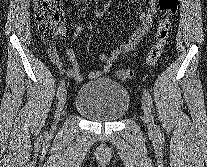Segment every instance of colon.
<instances>
[{
  "label": "colon",
  "instance_id": "colon-1",
  "mask_svg": "<svg viewBox=\"0 0 207 167\" xmlns=\"http://www.w3.org/2000/svg\"><path fill=\"white\" fill-rule=\"evenodd\" d=\"M60 2L61 0H36L35 20L42 39L49 44L56 42L61 37ZM158 5L162 18L155 27V42L146 56L148 66L155 65L164 51L171 29V18L178 10V0H158ZM135 75L136 72L131 69H121L117 72V76L121 80L132 79Z\"/></svg>",
  "mask_w": 207,
  "mask_h": 167
}]
</instances>
